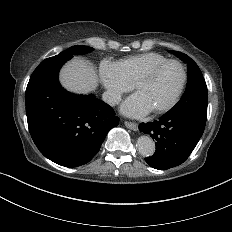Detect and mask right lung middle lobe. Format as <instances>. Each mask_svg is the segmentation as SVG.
<instances>
[{
    "label": "right lung middle lobe",
    "instance_id": "right-lung-middle-lobe-1",
    "mask_svg": "<svg viewBox=\"0 0 232 232\" xmlns=\"http://www.w3.org/2000/svg\"><path fill=\"white\" fill-rule=\"evenodd\" d=\"M93 50L92 47L88 46H72L65 51H62L59 56H65V55H77V54H85L88 52H91Z\"/></svg>",
    "mask_w": 232,
    "mask_h": 232
}]
</instances>
